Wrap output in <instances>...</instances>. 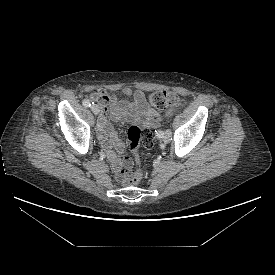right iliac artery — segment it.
<instances>
[{
  "instance_id": "1",
  "label": "right iliac artery",
  "mask_w": 275,
  "mask_h": 275,
  "mask_svg": "<svg viewBox=\"0 0 275 275\" xmlns=\"http://www.w3.org/2000/svg\"><path fill=\"white\" fill-rule=\"evenodd\" d=\"M93 103H94V102H92V104H93ZM83 105H84L85 107H90V106H91V101H90L89 99H84Z\"/></svg>"
}]
</instances>
